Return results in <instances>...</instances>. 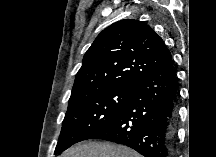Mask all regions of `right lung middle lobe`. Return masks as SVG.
<instances>
[{"instance_id":"1","label":"right lung middle lobe","mask_w":216,"mask_h":157,"mask_svg":"<svg viewBox=\"0 0 216 157\" xmlns=\"http://www.w3.org/2000/svg\"><path fill=\"white\" fill-rule=\"evenodd\" d=\"M131 89L132 86H121L92 91L70 102L55 154L90 139L112 122L126 106Z\"/></svg>"}]
</instances>
